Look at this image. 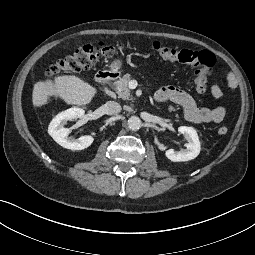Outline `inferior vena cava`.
Masks as SVG:
<instances>
[{
    "instance_id": "602c4592",
    "label": "inferior vena cava",
    "mask_w": 255,
    "mask_h": 255,
    "mask_svg": "<svg viewBox=\"0 0 255 255\" xmlns=\"http://www.w3.org/2000/svg\"><path fill=\"white\" fill-rule=\"evenodd\" d=\"M105 109H106V113L110 116H114L120 113L121 111V106L119 103L115 102V101H108L105 104Z\"/></svg>"
}]
</instances>
